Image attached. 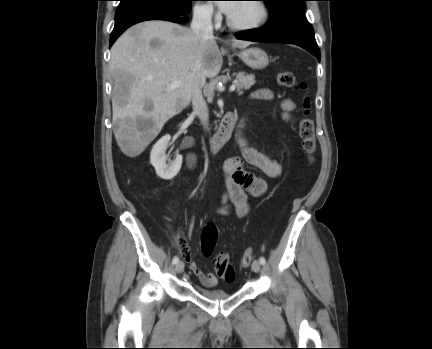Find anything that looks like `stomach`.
Instances as JSON below:
<instances>
[{
	"instance_id": "stomach-1",
	"label": "stomach",
	"mask_w": 432,
	"mask_h": 349,
	"mask_svg": "<svg viewBox=\"0 0 432 349\" xmlns=\"http://www.w3.org/2000/svg\"><path fill=\"white\" fill-rule=\"evenodd\" d=\"M238 57L253 69H263L269 64V58L260 48H249L238 53Z\"/></svg>"
}]
</instances>
